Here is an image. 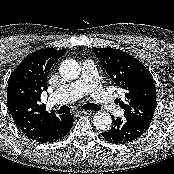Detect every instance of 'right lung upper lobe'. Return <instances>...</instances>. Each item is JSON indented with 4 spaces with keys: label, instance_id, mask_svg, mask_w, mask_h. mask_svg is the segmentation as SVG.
I'll list each match as a JSON object with an SVG mask.
<instances>
[{
    "label": "right lung upper lobe",
    "instance_id": "1",
    "mask_svg": "<svg viewBox=\"0 0 174 174\" xmlns=\"http://www.w3.org/2000/svg\"><path fill=\"white\" fill-rule=\"evenodd\" d=\"M66 49H40L28 54L11 73L7 88V107L22 132L34 139L50 133L69 115L57 117L45 111L41 95L47 91L46 78L52 65Z\"/></svg>",
    "mask_w": 174,
    "mask_h": 174
}]
</instances>
